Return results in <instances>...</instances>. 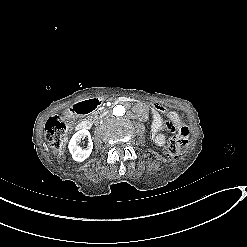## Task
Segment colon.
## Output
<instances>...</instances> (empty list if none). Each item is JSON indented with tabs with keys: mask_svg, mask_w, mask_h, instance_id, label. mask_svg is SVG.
I'll list each match as a JSON object with an SVG mask.
<instances>
[{
	"mask_svg": "<svg viewBox=\"0 0 247 247\" xmlns=\"http://www.w3.org/2000/svg\"><path fill=\"white\" fill-rule=\"evenodd\" d=\"M144 106L146 109H153L159 114L165 113L168 110L167 105L162 104L158 100L153 101L148 99L145 101ZM45 131L51 147L55 151L57 157L61 158L65 151V140L68 132L67 124L59 116H52L45 124ZM188 138V129L186 127H181L178 135L170 139L167 144V156L170 159H175L181 149L188 144Z\"/></svg>",
	"mask_w": 247,
	"mask_h": 247,
	"instance_id": "colon-1",
	"label": "colon"
}]
</instances>
